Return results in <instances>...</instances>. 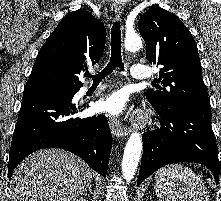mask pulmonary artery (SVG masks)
Listing matches in <instances>:
<instances>
[{
  "label": "pulmonary artery",
  "mask_w": 221,
  "mask_h": 201,
  "mask_svg": "<svg viewBox=\"0 0 221 201\" xmlns=\"http://www.w3.org/2000/svg\"><path fill=\"white\" fill-rule=\"evenodd\" d=\"M131 76L134 80H146L151 76L150 70L142 64H134L131 68ZM88 87H84L83 91H86Z\"/></svg>",
  "instance_id": "e3ab8cb5"
}]
</instances>
